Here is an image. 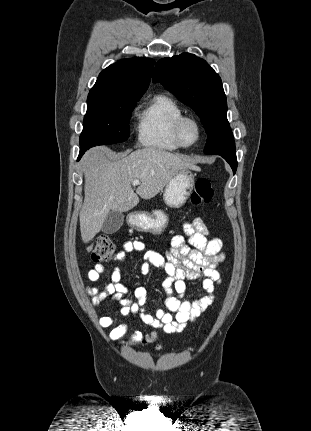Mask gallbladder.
I'll list each match as a JSON object with an SVG mask.
<instances>
[{
  "instance_id": "1",
  "label": "gallbladder",
  "mask_w": 311,
  "mask_h": 431,
  "mask_svg": "<svg viewBox=\"0 0 311 431\" xmlns=\"http://www.w3.org/2000/svg\"><path fill=\"white\" fill-rule=\"evenodd\" d=\"M124 214L122 212H109L101 229L104 233H115L123 225Z\"/></svg>"
}]
</instances>
